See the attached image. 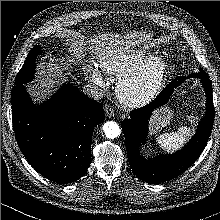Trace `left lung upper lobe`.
Instances as JSON below:
<instances>
[{"label": "left lung upper lobe", "mask_w": 220, "mask_h": 220, "mask_svg": "<svg viewBox=\"0 0 220 220\" xmlns=\"http://www.w3.org/2000/svg\"><path fill=\"white\" fill-rule=\"evenodd\" d=\"M199 73L207 75L202 69L200 70ZM193 74H195V73H192L191 75H193ZM183 77H184V76H179V77H177V78L174 79V80L177 81V80H179L180 78H183Z\"/></svg>", "instance_id": "5c2ea615"}]
</instances>
